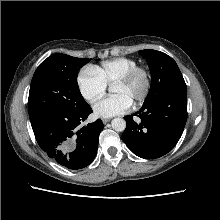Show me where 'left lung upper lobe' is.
I'll list each match as a JSON object with an SVG mask.
<instances>
[{
	"label": "left lung upper lobe",
	"instance_id": "1",
	"mask_svg": "<svg viewBox=\"0 0 220 220\" xmlns=\"http://www.w3.org/2000/svg\"><path fill=\"white\" fill-rule=\"evenodd\" d=\"M139 54L147 60L152 76L151 89L144 104L165 93L186 89L184 78L176 62L170 56L152 49L141 50Z\"/></svg>",
	"mask_w": 220,
	"mask_h": 220
}]
</instances>
